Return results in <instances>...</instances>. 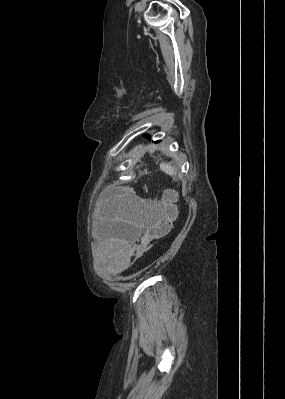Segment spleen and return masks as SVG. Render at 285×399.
Segmentation results:
<instances>
[{"mask_svg":"<svg viewBox=\"0 0 285 399\" xmlns=\"http://www.w3.org/2000/svg\"><path fill=\"white\" fill-rule=\"evenodd\" d=\"M160 169L164 172V173H166V174H168V175H170V176H174V175H176V169H175V167L174 166H172L170 163H167V162H162L161 164H160Z\"/></svg>","mask_w":285,"mask_h":399,"instance_id":"3e777b00","label":"spleen"}]
</instances>
